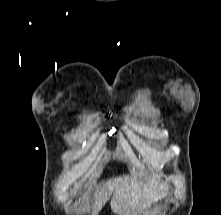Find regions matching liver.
I'll list each match as a JSON object with an SVG mask.
<instances>
[{
  "instance_id": "6515ba94",
  "label": "liver",
  "mask_w": 221,
  "mask_h": 215,
  "mask_svg": "<svg viewBox=\"0 0 221 215\" xmlns=\"http://www.w3.org/2000/svg\"><path fill=\"white\" fill-rule=\"evenodd\" d=\"M167 189L165 184L157 185L153 180L142 184L128 176L112 178L96 187L92 215H98L111 196L112 212L118 215H132L135 211L146 209ZM86 200L88 201V198Z\"/></svg>"
}]
</instances>
